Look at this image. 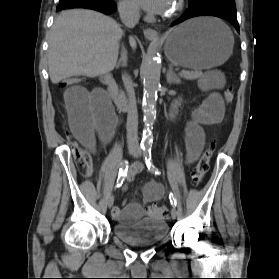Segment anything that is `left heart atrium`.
<instances>
[{"mask_svg":"<svg viewBox=\"0 0 279 279\" xmlns=\"http://www.w3.org/2000/svg\"><path fill=\"white\" fill-rule=\"evenodd\" d=\"M135 2L145 11L154 15H161L170 10L173 0H135Z\"/></svg>","mask_w":279,"mask_h":279,"instance_id":"1","label":"left heart atrium"}]
</instances>
